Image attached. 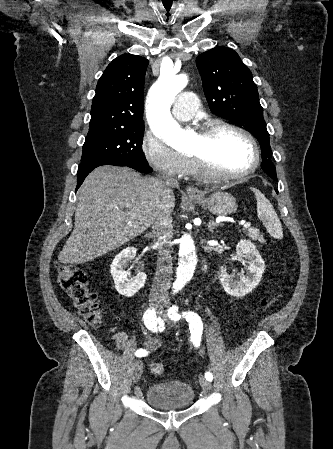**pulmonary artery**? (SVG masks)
I'll return each mask as SVG.
<instances>
[{"mask_svg":"<svg viewBox=\"0 0 333 449\" xmlns=\"http://www.w3.org/2000/svg\"><path fill=\"white\" fill-rule=\"evenodd\" d=\"M198 100L193 92H184L178 95L173 108V116L180 121L191 119L197 111Z\"/></svg>","mask_w":333,"mask_h":449,"instance_id":"e3ab8cb5","label":"pulmonary artery"}]
</instances>
